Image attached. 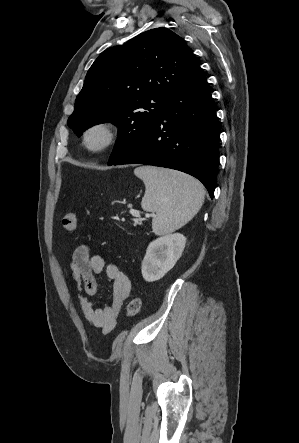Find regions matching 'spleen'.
<instances>
[{
    "label": "spleen",
    "instance_id": "spleen-1",
    "mask_svg": "<svg viewBox=\"0 0 299 443\" xmlns=\"http://www.w3.org/2000/svg\"><path fill=\"white\" fill-rule=\"evenodd\" d=\"M145 184L141 206L155 212L152 229L156 235L173 232L189 222L204 201V188L196 179L174 170L141 166L134 170Z\"/></svg>",
    "mask_w": 299,
    "mask_h": 443
}]
</instances>
